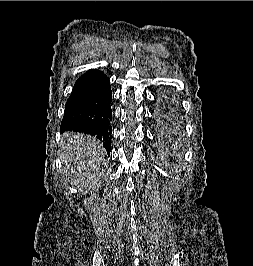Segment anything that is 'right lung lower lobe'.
Returning <instances> with one entry per match:
<instances>
[{
  "instance_id": "obj_1",
  "label": "right lung lower lobe",
  "mask_w": 253,
  "mask_h": 266,
  "mask_svg": "<svg viewBox=\"0 0 253 266\" xmlns=\"http://www.w3.org/2000/svg\"><path fill=\"white\" fill-rule=\"evenodd\" d=\"M112 92L108 77L99 70H88L75 82L65 105L60 131L90 134L111 150Z\"/></svg>"
}]
</instances>
